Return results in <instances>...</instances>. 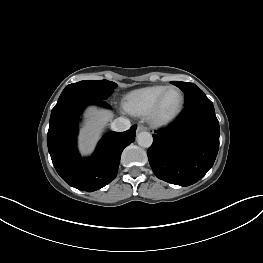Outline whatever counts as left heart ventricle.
Segmentation results:
<instances>
[{"mask_svg":"<svg viewBox=\"0 0 263 263\" xmlns=\"http://www.w3.org/2000/svg\"><path fill=\"white\" fill-rule=\"evenodd\" d=\"M180 101H181L180 93L176 90L170 91L166 95L164 102L162 104L161 114L163 116H166L174 112L180 105Z\"/></svg>","mask_w":263,"mask_h":263,"instance_id":"b2bd125f","label":"left heart ventricle"}]
</instances>
